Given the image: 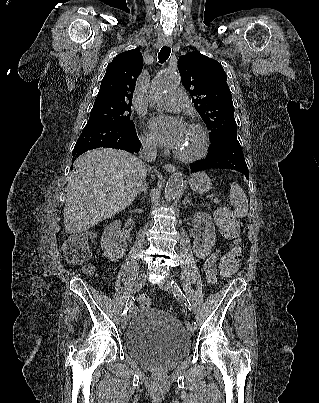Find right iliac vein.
Segmentation results:
<instances>
[{
	"mask_svg": "<svg viewBox=\"0 0 319 403\" xmlns=\"http://www.w3.org/2000/svg\"><path fill=\"white\" fill-rule=\"evenodd\" d=\"M145 282H146V274H145V273H141V274L138 276V278H137V280H136V282H135L134 290H135V291L140 290V289L144 286ZM128 322H129V321H128V318H127V316H125V317L122 319V322H121V327H122V329H126V328H127Z\"/></svg>",
	"mask_w": 319,
	"mask_h": 403,
	"instance_id": "63e3f726",
	"label": "right iliac vein"
}]
</instances>
